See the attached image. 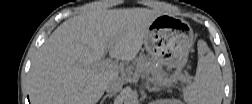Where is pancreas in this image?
<instances>
[{
  "mask_svg": "<svg viewBox=\"0 0 252 104\" xmlns=\"http://www.w3.org/2000/svg\"><path fill=\"white\" fill-rule=\"evenodd\" d=\"M136 71L146 75L148 80L161 86L168 85V83H172L177 79L183 80L184 77H186L179 72L169 75L163 71V68L159 63L146 62L145 60H140L138 62Z\"/></svg>",
  "mask_w": 252,
  "mask_h": 104,
  "instance_id": "obj_1",
  "label": "pancreas"
}]
</instances>
